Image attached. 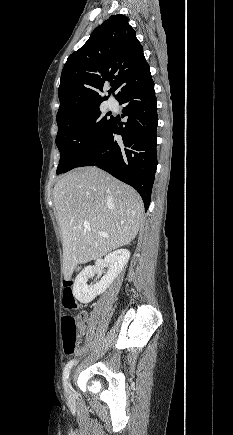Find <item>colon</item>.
Listing matches in <instances>:
<instances>
[{"mask_svg":"<svg viewBox=\"0 0 233 435\" xmlns=\"http://www.w3.org/2000/svg\"><path fill=\"white\" fill-rule=\"evenodd\" d=\"M63 305L67 310H75L79 307L73 293L72 280H68L63 284ZM84 318V314H64L62 316L63 349L66 354H72L75 351L79 320Z\"/></svg>","mask_w":233,"mask_h":435,"instance_id":"5ec220e1","label":"colon"}]
</instances>
